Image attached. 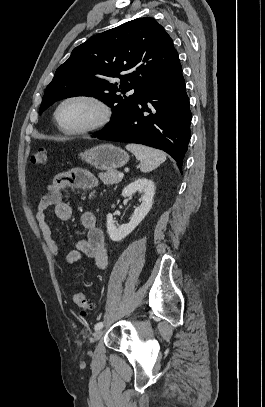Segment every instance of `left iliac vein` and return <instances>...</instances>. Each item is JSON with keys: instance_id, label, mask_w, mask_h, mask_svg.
Returning a JSON list of instances; mask_svg holds the SVG:
<instances>
[{"instance_id": "obj_1", "label": "left iliac vein", "mask_w": 265, "mask_h": 407, "mask_svg": "<svg viewBox=\"0 0 265 407\" xmlns=\"http://www.w3.org/2000/svg\"><path fill=\"white\" fill-rule=\"evenodd\" d=\"M102 333H103L102 330H97V331L92 335V337H91V342H92V343L97 342V341L101 338Z\"/></svg>"}]
</instances>
